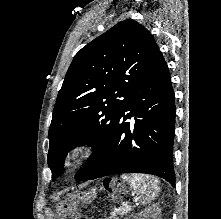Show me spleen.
<instances>
[{"instance_id": "1", "label": "spleen", "mask_w": 221, "mask_h": 219, "mask_svg": "<svg viewBox=\"0 0 221 219\" xmlns=\"http://www.w3.org/2000/svg\"><path fill=\"white\" fill-rule=\"evenodd\" d=\"M122 179L130 182L134 192L140 196L143 204L154 200L158 193L159 181L154 177L133 174L132 176L122 175Z\"/></svg>"}]
</instances>
